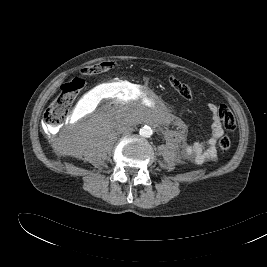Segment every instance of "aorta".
<instances>
[{"label":"aorta","instance_id":"1","mask_svg":"<svg viewBox=\"0 0 267 267\" xmlns=\"http://www.w3.org/2000/svg\"><path fill=\"white\" fill-rule=\"evenodd\" d=\"M140 135L143 137H151L153 134V130L149 126H144L139 131Z\"/></svg>","mask_w":267,"mask_h":267}]
</instances>
